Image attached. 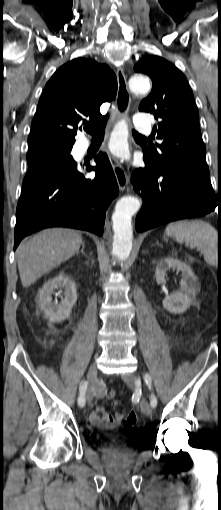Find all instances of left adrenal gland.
Instances as JSON below:
<instances>
[{
	"mask_svg": "<svg viewBox=\"0 0 221 510\" xmlns=\"http://www.w3.org/2000/svg\"><path fill=\"white\" fill-rule=\"evenodd\" d=\"M154 245H160L159 242L157 241Z\"/></svg>",
	"mask_w": 221,
	"mask_h": 510,
	"instance_id": "1",
	"label": "left adrenal gland"
}]
</instances>
